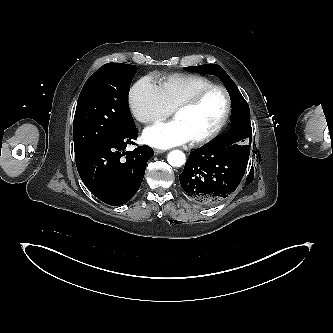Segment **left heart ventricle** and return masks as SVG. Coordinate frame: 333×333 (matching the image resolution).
I'll list each match as a JSON object with an SVG mask.
<instances>
[{"label": "left heart ventricle", "instance_id": "1", "mask_svg": "<svg viewBox=\"0 0 333 333\" xmlns=\"http://www.w3.org/2000/svg\"><path fill=\"white\" fill-rule=\"evenodd\" d=\"M226 98L220 91L209 93L195 107L179 112L174 119L185 129L190 140L198 139L211 132L222 119Z\"/></svg>", "mask_w": 333, "mask_h": 333}]
</instances>
